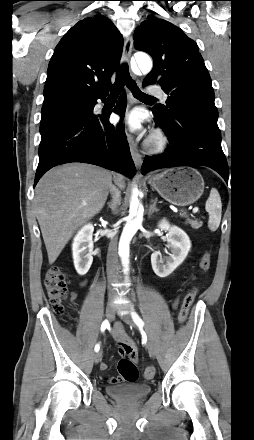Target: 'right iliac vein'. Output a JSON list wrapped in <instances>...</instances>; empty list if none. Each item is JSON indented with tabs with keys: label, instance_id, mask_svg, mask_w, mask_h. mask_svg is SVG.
Masks as SVG:
<instances>
[{
	"label": "right iliac vein",
	"instance_id": "1",
	"mask_svg": "<svg viewBox=\"0 0 254 440\" xmlns=\"http://www.w3.org/2000/svg\"><path fill=\"white\" fill-rule=\"evenodd\" d=\"M113 315H114V307L112 305H109L106 309V317L109 320L113 319ZM102 359V352L98 351L95 355H94V362L95 363H99Z\"/></svg>",
	"mask_w": 254,
	"mask_h": 440
}]
</instances>
